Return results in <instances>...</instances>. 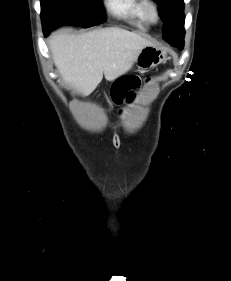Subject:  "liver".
<instances>
[{"label":"liver","mask_w":231,"mask_h":281,"mask_svg":"<svg viewBox=\"0 0 231 281\" xmlns=\"http://www.w3.org/2000/svg\"><path fill=\"white\" fill-rule=\"evenodd\" d=\"M152 43L118 27L49 38L53 61L64 81L83 95L92 93L103 79L113 81L128 72L139 52Z\"/></svg>","instance_id":"obj_1"}]
</instances>
